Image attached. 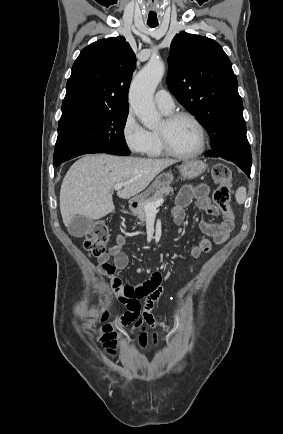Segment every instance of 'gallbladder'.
Listing matches in <instances>:
<instances>
[{
  "label": "gallbladder",
  "instance_id": "1",
  "mask_svg": "<svg viewBox=\"0 0 283 434\" xmlns=\"http://www.w3.org/2000/svg\"><path fill=\"white\" fill-rule=\"evenodd\" d=\"M93 227V221L84 216H76L69 224L68 231L74 237H83L88 234Z\"/></svg>",
  "mask_w": 283,
  "mask_h": 434
}]
</instances>
